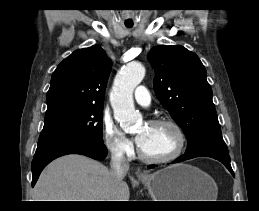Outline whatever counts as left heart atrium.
Instances as JSON below:
<instances>
[{"instance_id": "1", "label": "left heart atrium", "mask_w": 259, "mask_h": 211, "mask_svg": "<svg viewBox=\"0 0 259 211\" xmlns=\"http://www.w3.org/2000/svg\"><path fill=\"white\" fill-rule=\"evenodd\" d=\"M136 140H137V143L139 144L142 141V135H138Z\"/></svg>"}]
</instances>
